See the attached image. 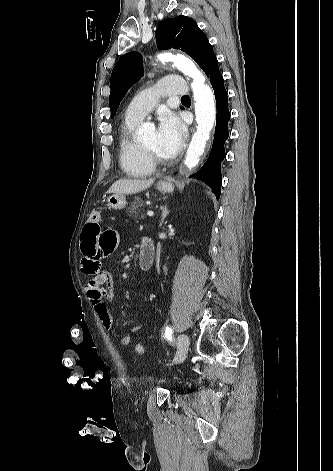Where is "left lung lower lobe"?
<instances>
[{
    "label": "left lung lower lobe",
    "instance_id": "left-lung-lower-lobe-1",
    "mask_svg": "<svg viewBox=\"0 0 333 471\" xmlns=\"http://www.w3.org/2000/svg\"><path fill=\"white\" fill-rule=\"evenodd\" d=\"M202 70L210 79L214 89L217 107L216 128L213 146L206 163L198 172L190 177H199L205 180L213 187L214 193L219 198L222 184L220 164L225 158L224 143L228 138L230 112L227 106V91L224 87V80L219 71L215 53L207 58L202 66Z\"/></svg>",
    "mask_w": 333,
    "mask_h": 471
}]
</instances>
